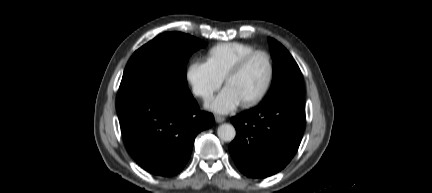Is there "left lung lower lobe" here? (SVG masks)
<instances>
[{
    "mask_svg": "<svg viewBox=\"0 0 432 193\" xmlns=\"http://www.w3.org/2000/svg\"><path fill=\"white\" fill-rule=\"evenodd\" d=\"M236 137L229 145L238 169L248 177L264 178L282 170L301 142L304 106L270 102L231 118Z\"/></svg>",
    "mask_w": 432,
    "mask_h": 193,
    "instance_id": "obj_1",
    "label": "left lung lower lobe"
}]
</instances>
